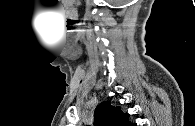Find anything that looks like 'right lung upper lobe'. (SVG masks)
Returning a JSON list of instances; mask_svg holds the SVG:
<instances>
[{"mask_svg":"<svg viewBox=\"0 0 195 126\" xmlns=\"http://www.w3.org/2000/svg\"><path fill=\"white\" fill-rule=\"evenodd\" d=\"M95 126H136L129 121V114L123 113L119 106L115 107L105 101L95 109Z\"/></svg>","mask_w":195,"mask_h":126,"instance_id":"1","label":"right lung upper lobe"}]
</instances>
